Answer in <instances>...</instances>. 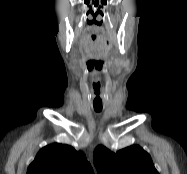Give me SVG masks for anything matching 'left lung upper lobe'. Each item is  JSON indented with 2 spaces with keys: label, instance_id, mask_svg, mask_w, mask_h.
<instances>
[{
  "label": "left lung upper lobe",
  "instance_id": "1",
  "mask_svg": "<svg viewBox=\"0 0 187 174\" xmlns=\"http://www.w3.org/2000/svg\"><path fill=\"white\" fill-rule=\"evenodd\" d=\"M93 160L98 174H159L150 155L138 145L117 153L100 145L94 150Z\"/></svg>",
  "mask_w": 187,
  "mask_h": 174
}]
</instances>
